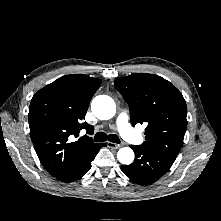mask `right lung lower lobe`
Masks as SVG:
<instances>
[{"label":"right lung lower lobe","instance_id":"right-lung-lower-lobe-1","mask_svg":"<svg viewBox=\"0 0 221 221\" xmlns=\"http://www.w3.org/2000/svg\"><path fill=\"white\" fill-rule=\"evenodd\" d=\"M103 146H106V144L99 143L82 161L58 173L55 177L63 182H72L80 179L89 171L92 160Z\"/></svg>","mask_w":221,"mask_h":221}]
</instances>
